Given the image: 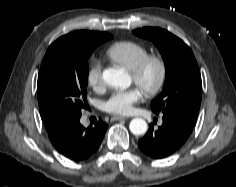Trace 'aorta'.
Returning a JSON list of instances; mask_svg holds the SVG:
<instances>
[{
    "label": "aorta",
    "instance_id": "obj_1",
    "mask_svg": "<svg viewBox=\"0 0 236 187\" xmlns=\"http://www.w3.org/2000/svg\"><path fill=\"white\" fill-rule=\"evenodd\" d=\"M102 77L106 84L114 88L126 89L131 85L130 76L122 69H105ZM129 129L134 135H142L147 132L148 125L144 119L134 118L129 124Z\"/></svg>",
    "mask_w": 236,
    "mask_h": 187
}]
</instances>
